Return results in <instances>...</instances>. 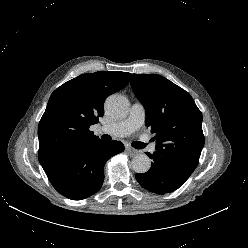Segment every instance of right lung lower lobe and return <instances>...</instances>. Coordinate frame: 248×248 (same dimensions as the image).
<instances>
[{
  "label": "right lung lower lobe",
  "instance_id": "1",
  "mask_svg": "<svg viewBox=\"0 0 248 248\" xmlns=\"http://www.w3.org/2000/svg\"><path fill=\"white\" fill-rule=\"evenodd\" d=\"M124 150L120 141H82L43 168L53 187L71 200H82L96 193L104 181V165Z\"/></svg>",
  "mask_w": 248,
  "mask_h": 248
}]
</instances>
